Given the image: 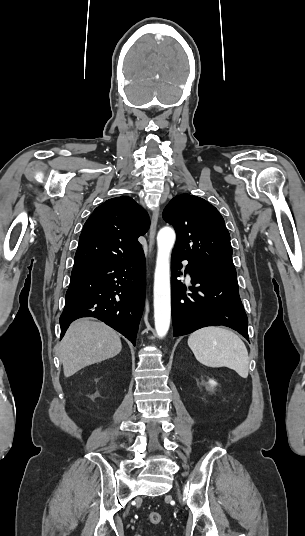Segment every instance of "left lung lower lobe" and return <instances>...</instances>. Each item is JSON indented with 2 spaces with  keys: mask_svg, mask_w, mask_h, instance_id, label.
Instances as JSON below:
<instances>
[{
  "mask_svg": "<svg viewBox=\"0 0 305 536\" xmlns=\"http://www.w3.org/2000/svg\"><path fill=\"white\" fill-rule=\"evenodd\" d=\"M181 258L172 254L171 260V311L174 337L186 335L202 327L223 325L238 331L247 340L248 319L240 300L237 276L198 269L191 264L186 271L191 276L192 293H185L177 277Z\"/></svg>",
  "mask_w": 305,
  "mask_h": 536,
  "instance_id": "1",
  "label": "left lung lower lobe"
}]
</instances>
